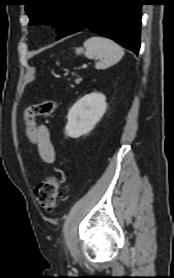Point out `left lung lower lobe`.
<instances>
[{
  "mask_svg": "<svg viewBox=\"0 0 174 278\" xmlns=\"http://www.w3.org/2000/svg\"><path fill=\"white\" fill-rule=\"evenodd\" d=\"M143 0H80L57 40L83 29L108 37L138 54Z\"/></svg>",
  "mask_w": 174,
  "mask_h": 278,
  "instance_id": "left-lung-lower-lobe-1",
  "label": "left lung lower lobe"
}]
</instances>
